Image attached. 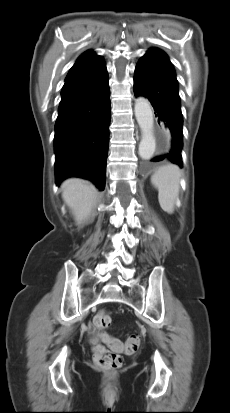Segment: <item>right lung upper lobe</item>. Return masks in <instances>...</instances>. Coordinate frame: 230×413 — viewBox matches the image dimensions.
<instances>
[{
	"label": "right lung upper lobe",
	"mask_w": 230,
	"mask_h": 413,
	"mask_svg": "<svg viewBox=\"0 0 230 413\" xmlns=\"http://www.w3.org/2000/svg\"><path fill=\"white\" fill-rule=\"evenodd\" d=\"M105 68L103 57L96 55L92 50L84 52L70 69L65 82L77 80L96 73Z\"/></svg>",
	"instance_id": "1"
}]
</instances>
